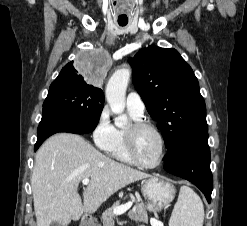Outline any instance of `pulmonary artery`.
<instances>
[{
	"label": "pulmonary artery",
	"mask_w": 247,
	"mask_h": 226,
	"mask_svg": "<svg viewBox=\"0 0 247 226\" xmlns=\"http://www.w3.org/2000/svg\"><path fill=\"white\" fill-rule=\"evenodd\" d=\"M126 106L128 110L139 116H142L145 110V104L137 92H130L127 95Z\"/></svg>",
	"instance_id": "1"
}]
</instances>
